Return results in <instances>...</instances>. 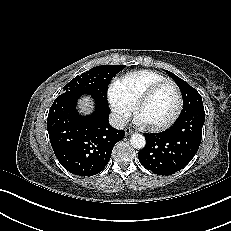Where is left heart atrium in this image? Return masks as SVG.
I'll return each mask as SVG.
<instances>
[{
  "label": "left heart atrium",
  "instance_id": "39dd6f15",
  "mask_svg": "<svg viewBox=\"0 0 231 231\" xmlns=\"http://www.w3.org/2000/svg\"><path fill=\"white\" fill-rule=\"evenodd\" d=\"M135 124H136V126L142 128V127H144L146 125V122H145V120L143 118L136 117L135 118Z\"/></svg>",
  "mask_w": 231,
  "mask_h": 231
}]
</instances>
